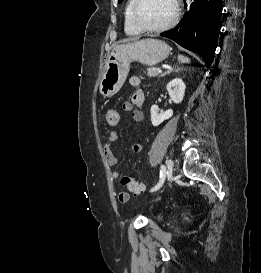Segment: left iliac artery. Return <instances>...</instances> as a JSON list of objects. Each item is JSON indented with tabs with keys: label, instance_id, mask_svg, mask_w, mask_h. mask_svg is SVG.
Wrapping results in <instances>:
<instances>
[{
	"label": "left iliac artery",
	"instance_id": "obj_1",
	"mask_svg": "<svg viewBox=\"0 0 261 273\" xmlns=\"http://www.w3.org/2000/svg\"><path fill=\"white\" fill-rule=\"evenodd\" d=\"M164 179H165V166L162 165L161 170H160V180H159L158 184L154 188H152L150 191L151 192L157 191L162 186Z\"/></svg>",
	"mask_w": 261,
	"mask_h": 273
}]
</instances>
